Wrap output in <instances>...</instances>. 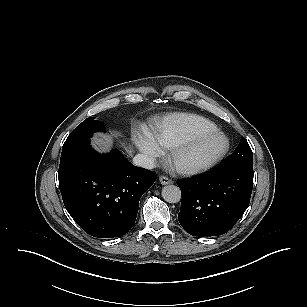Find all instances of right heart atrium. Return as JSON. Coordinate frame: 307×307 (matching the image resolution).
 <instances>
[{
    "label": "right heart atrium",
    "instance_id": "d8ad5b80",
    "mask_svg": "<svg viewBox=\"0 0 307 307\" xmlns=\"http://www.w3.org/2000/svg\"><path fill=\"white\" fill-rule=\"evenodd\" d=\"M134 141L148 162L154 161L162 153L161 146L152 140L147 133L136 134L134 136Z\"/></svg>",
    "mask_w": 307,
    "mask_h": 307
}]
</instances>
